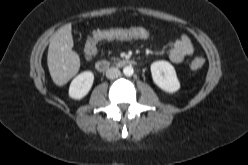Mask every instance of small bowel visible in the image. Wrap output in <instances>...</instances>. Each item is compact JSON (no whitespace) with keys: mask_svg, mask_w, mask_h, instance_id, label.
Here are the masks:
<instances>
[{"mask_svg":"<svg viewBox=\"0 0 248 165\" xmlns=\"http://www.w3.org/2000/svg\"><path fill=\"white\" fill-rule=\"evenodd\" d=\"M133 32H140L141 34H136L127 38L120 39H146L150 36V32L143 27H133L125 29ZM113 39V38H110ZM91 42V37L87 39L86 44ZM101 42V41H100ZM98 45V44H97ZM194 53V48L189 37L185 34H181L174 42L169 51V59L175 64L182 63L187 57L192 56Z\"/></svg>","mask_w":248,"mask_h":165,"instance_id":"1","label":"small bowel"}]
</instances>
